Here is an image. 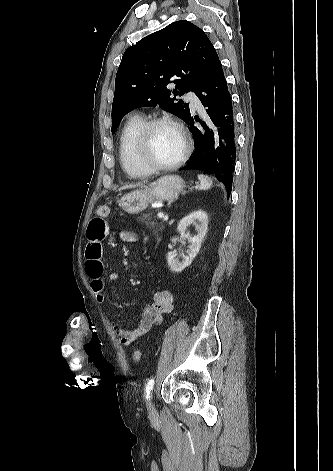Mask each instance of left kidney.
<instances>
[{"label": "left kidney", "instance_id": "1", "mask_svg": "<svg viewBox=\"0 0 333 471\" xmlns=\"http://www.w3.org/2000/svg\"><path fill=\"white\" fill-rule=\"evenodd\" d=\"M191 224L196 226L197 234L189 239L190 247L189 251L186 256L183 257L182 262H179L177 257L176 251H170L167 253V262L170 269L173 272L179 273L183 271L186 267H188L193 259L198 254L201 243L206 235L207 227H208V216L203 210H197L192 212L191 214L182 218L180 223L178 224V232L184 233L186 232L188 226Z\"/></svg>", "mask_w": 333, "mask_h": 471}]
</instances>
